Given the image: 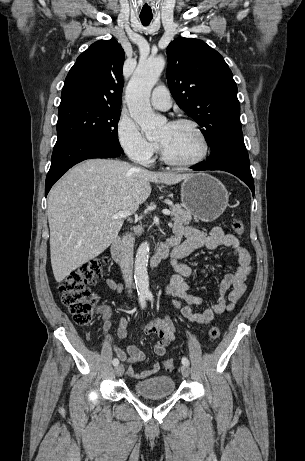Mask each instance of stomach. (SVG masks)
Segmentation results:
<instances>
[{
  "instance_id": "0dacf381",
  "label": "stomach",
  "mask_w": 305,
  "mask_h": 461,
  "mask_svg": "<svg viewBox=\"0 0 305 461\" xmlns=\"http://www.w3.org/2000/svg\"><path fill=\"white\" fill-rule=\"evenodd\" d=\"M228 201L227 189L210 174H191L181 184L182 206L202 221L217 219L227 208Z\"/></svg>"
}]
</instances>
